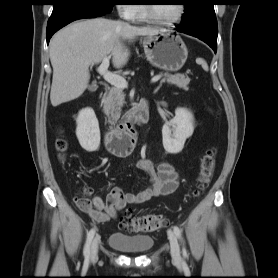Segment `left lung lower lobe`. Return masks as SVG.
<instances>
[{"label": "left lung lower lobe", "mask_w": 278, "mask_h": 278, "mask_svg": "<svg viewBox=\"0 0 278 278\" xmlns=\"http://www.w3.org/2000/svg\"><path fill=\"white\" fill-rule=\"evenodd\" d=\"M177 31L194 36L207 43L216 53L217 33H215L204 20L184 23L177 26Z\"/></svg>", "instance_id": "0a47b994"}]
</instances>
